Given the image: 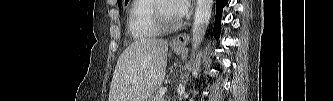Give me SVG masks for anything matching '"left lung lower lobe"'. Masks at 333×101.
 Masks as SVG:
<instances>
[{
	"mask_svg": "<svg viewBox=\"0 0 333 101\" xmlns=\"http://www.w3.org/2000/svg\"><path fill=\"white\" fill-rule=\"evenodd\" d=\"M228 3V0H216V18L213 29V35L218 39L221 31V15L223 7Z\"/></svg>",
	"mask_w": 333,
	"mask_h": 101,
	"instance_id": "1",
	"label": "left lung lower lobe"
}]
</instances>
